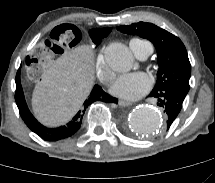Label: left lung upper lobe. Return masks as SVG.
<instances>
[{
	"label": "left lung upper lobe",
	"mask_w": 215,
	"mask_h": 183,
	"mask_svg": "<svg viewBox=\"0 0 215 183\" xmlns=\"http://www.w3.org/2000/svg\"><path fill=\"white\" fill-rule=\"evenodd\" d=\"M117 29L123 33L146 38L154 44L157 50L159 70L153 90L176 86L188 93L191 65L186 48L178 37L154 24L145 22L123 25Z\"/></svg>",
	"instance_id": "obj_1"
}]
</instances>
